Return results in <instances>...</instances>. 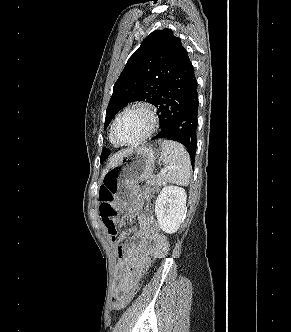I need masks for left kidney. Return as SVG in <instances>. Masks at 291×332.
<instances>
[{
  "label": "left kidney",
  "mask_w": 291,
  "mask_h": 332,
  "mask_svg": "<svg viewBox=\"0 0 291 332\" xmlns=\"http://www.w3.org/2000/svg\"><path fill=\"white\" fill-rule=\"evenodd\" d=\"M187 195L183 188L165 186L155 202L159 227L168 234L175 233L185 214Z\"/></svg>",
  "instance_id": "5707ae66"
}]
</instances>
